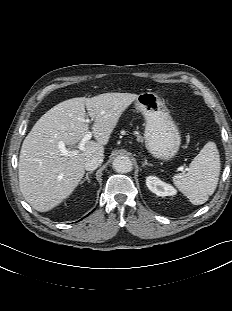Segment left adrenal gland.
Instances as JSON below:
<instances>
[{
	"label": "left adrenal gland",
	"instance_id": "1",
	"mask_svg": "<svg viewBox=\"0 0 232 311\" xmlns=\"http://www.w3.org/2000/svg\"><path fill=\"white\" fill-rule=\"evenodd\" d=\"M146 165L152 166V164L148 163V162H147V159L144 158V163L142 164V166L144 167V166H146Z\"/></svg>",
	"mask_w": 232,
	"mask_h": 311
}]
</instances>
